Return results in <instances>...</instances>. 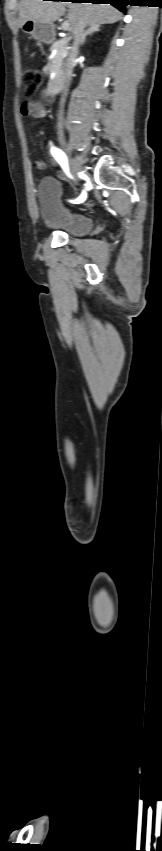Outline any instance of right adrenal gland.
<instances>
[{
  "label": "right adrenal gland",
  "mask_w": 162,
  "mask_h": 851,
  "mask_svg": "<svg viewBox=\"0 0 162 851\" xmlns=\"http://www.w3.org/2000/svg\"><path fill=\"white\" fill-rule=\"evenodd\" d=\"M99 31H100V25L90 26V27H89V28L85 31V33H84V35H83L81 45H83V44L85 43L86 37H87L88 35H92L93 33H95V32H99Z\"/></svg>",
  "instance_id": "obj_1"
}]
</instances>
